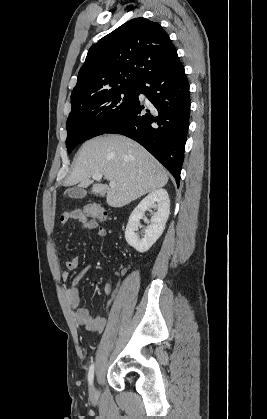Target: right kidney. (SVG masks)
I'll use <instances>...</instances> for the list:
<instances>
[{
	"label": "right kidney",
	"mask_w": 267,
	"mask_h": 419,
	"mask_svg": "<svg viewBox=\"0 0 267 419\" xmlns=\"http://www.w3.org/2000/svg\"><path fill=\"white\" fill-rule=\"evenodd\" d=\"M157 208V212L151 217L150 225L144 231V237L139 238L138 229L140 219L149 208ZM170 214V200L165 189H157L148 194L131 213L126 230L125 239L127 243L138 252H146L162 235Z\"/></svg>",
	"instance_id": "1"
}]
</instances>
